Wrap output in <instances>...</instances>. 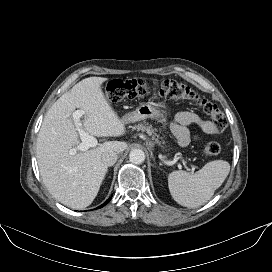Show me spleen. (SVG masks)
<instances>
[{
  "instance_id": "spleen-1",
  "label": "spleen",
  "mask_w": 272,
  "mask_h": 272,
  "mask_svg": "<svg viewBox=\"0 0 272 272\" xmlns=\"http://www.w3.org/2000/svg\"><path fill=\"white\" fill-rule=\"evenodd\" d=\"M229 171L230 164L223 160L208 162L195 173L174 171L168 176L169 191L178 204L196 208L212 198Z\"/></svg>"
}]
</instances>
